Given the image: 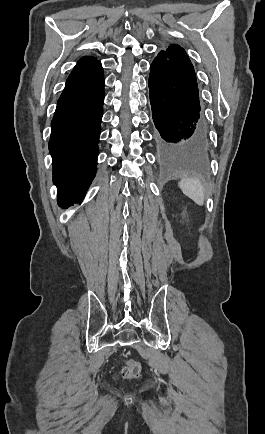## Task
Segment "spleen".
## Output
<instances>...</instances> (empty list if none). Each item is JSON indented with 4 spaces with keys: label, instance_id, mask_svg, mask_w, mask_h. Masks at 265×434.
I'll use <instances>...</instances> for the list:
<instances>
[{
    "label": "spleen",
    "instance_id": "spleen-1",
    "mask_svg": "<svg viewBox=\"0 0 265 434\" xmlns=\"http://www.w3.org/2000/svg\"><path fill=\"white\" fill-rule=\"evenodd\" d=\"M179 188H181L183 194L191 198L195 204L203 206L205 202L204 188L199 180H196V178H184V180L179 182Z\"/></svg>",
    "mask_w": 265,
    "mask_h": 434
}]
</instances>
